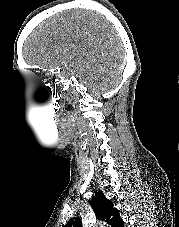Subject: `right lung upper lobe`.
<instances>
[{"instance_id": "obj_1", "label": "right lung upper lobe", "mask_w": 179, "mask_h": 227, "mask_svg": "<svg viewBox=\"0 0 179 227\" xmlns=\"http://www.w3.org/2000/svg\"><path fill=\"white\" fill-rule=\"evenodd\" d=\"M90 204L97 219L108 222L111 227H123V220L120 219L119 211L113 207V203L104 196L102 191L97 192ZM65 227H82L81 219L72 218Z\"/></svg>"}]
</instances>
